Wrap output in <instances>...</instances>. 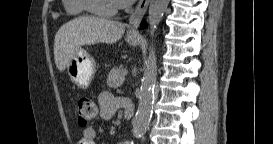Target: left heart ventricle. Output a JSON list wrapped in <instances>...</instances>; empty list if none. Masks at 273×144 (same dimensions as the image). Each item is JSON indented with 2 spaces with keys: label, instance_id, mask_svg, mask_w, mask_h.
Returning <instances> with one entry per match:
<instances>
[{
  "label": "left heart ventricle",
  "instance_id": "1",
  "mask_svg": "<svg viewBox=\"0 0 273 144\" xmlns=\"http://www.w3.org/2000/svg\"><path fill=\"white\" fill-rule=\"evenodd\" d=\"M97 5L102 9H108L116 6L113 0H98Z\"/></svg>",
  "mask_w": 273,
  "mask_h": 144
}]
</instances>
